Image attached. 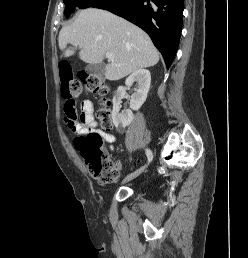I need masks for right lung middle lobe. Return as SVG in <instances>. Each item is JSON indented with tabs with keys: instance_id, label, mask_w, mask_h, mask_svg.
<instances>
[{
	"instance_id": "right-lung-middle-lobe-1",
	"label": "right lung middle lobe",
	"mask_w": 248,
	"mask_h": 258,
	"mask_svg": "<svg viewBox=\"0 0 248 258\" xmlns=\"http://www.w3.org/2000/svg\"><path fill=\"white\" fill-rule=\"evenodd\" d=\"M107 0H64L65 16L68 18L75 10L95 7L96 5L106 2Z\"/></svg>"
}]
</instances>
